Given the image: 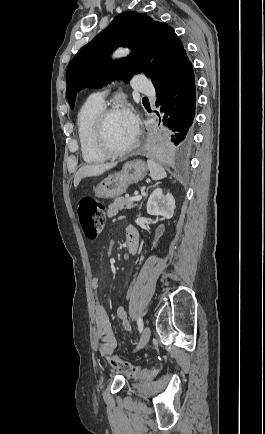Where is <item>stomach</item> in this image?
Masks as SVG:
<instances>
[{
  "mask_svg": "<svg viewBox=\"0 0 265 434\" xmlns=\"http://www.w3.org/2000/svg\"><path fill=\"white\" fill-rule=\"evenodd\" d=\"M148 168L143 160H133L126 162L121 172L111 174L102 180L95 188L97 198H118L125 194L129 184H137L147 176Z\"/></svg>",
  "mask_w": 265,
  "mask_h": 434,
  "instance_id": "1",
  "label": "stomach"
}]
</instances>
